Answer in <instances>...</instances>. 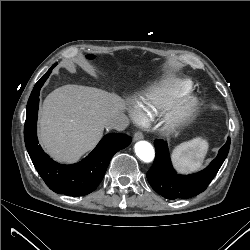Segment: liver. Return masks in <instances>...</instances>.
<instances>
[{"mask_svg": "<svg viewBox=\"0 0 250 250\" xmlns=\"http://www.w3.org/2000/svg\"><path fill=\"white\" fill-rule=\"evenodd\" d=\"M123 100L107 91L64 85L44 100L39 117V139L55 160L71 163L100 140L105 122L121 114Z\"/></svg>", "mask_w": 250, "mask_h": 250, "instance_id": "obj_1", "label": "liver"}]
</instances>
